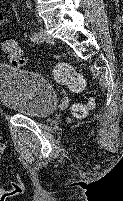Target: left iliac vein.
<instances>
[{"instance_id":"obj_1","label":"left iliac vein","mask_w":123,"mask_h":201,"mask_svg":"<svg viewBox=\"0 0 123 201\" xmlns=\"http://www.w3.org/2000/svg\"><path fill=\"white\" fill-rule=\"evenodd\" d=\"M39 34H40V41L39 42L46 41L49 44L55 43L54 38L51 35L47 34V32L44 29H41Z\"/></svg>"}]
</instances>
